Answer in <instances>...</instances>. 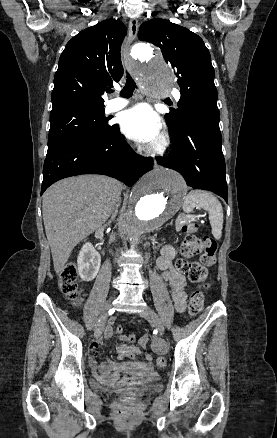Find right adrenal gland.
<instances>
[{"label": "right adrenal gland", "mask_w": 277, "mask_h": 438, "mask_svg": "<svg viewBox=\"0 0 277 438\" xmlns=\"http://www.w3.org/2000/svg\"><path fill=\"white\" fill-rule=\"evenodd\" d=\"M116 214H117V212H116ZM116 214H113V216H111V220H110V222H114V220H115V218H116Z\"/></svg>", "instance_id": "obj_1"}]
</instances>
